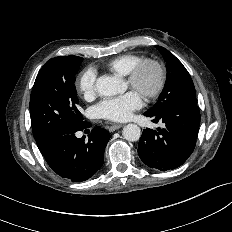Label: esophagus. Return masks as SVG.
<instances>
[{
  "mask_svg": "<svg viewBox=\"0 0 232 232\" xmlns=\"http://www.w3.org/2000/svg\"><path fill=\"white\" fill-rule=\"evenodd\" d=\"M121 127H123L122 124H115V125L110 126L109 131L114 132V131L120 129Z\"/></svg>",
  "mask_w": 232,
  "mask_h": 232,
  "instance_id": "1",
  "label": "esophagus"
}]
</instances>
